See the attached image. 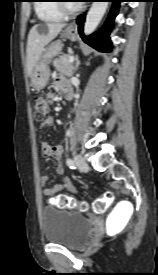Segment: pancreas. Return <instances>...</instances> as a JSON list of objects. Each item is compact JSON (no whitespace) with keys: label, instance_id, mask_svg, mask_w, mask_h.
Wrapping results in <instances>:
<instances>
[{"label":"pancreas","instance_id":"cf45deb5","mask_svg":"<svg viewBox=\"0 0 158 275\" xmlns=\"http://www.w3.org/2000/svg\"><path fill=\"white\" fill-rule=\"evenodd\" d=\"M69 59L70 55H63L53 61V66L60 73L67 76H72L74 73V66L72 63L69 62Z\"/></svg>","mask_w":158,"mask_h":275}]
</instances>
